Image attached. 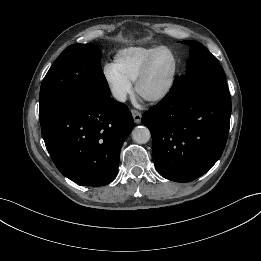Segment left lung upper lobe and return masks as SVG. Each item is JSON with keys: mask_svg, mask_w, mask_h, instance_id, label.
I'll return each instance as SVG.
<instances>
[{"mask_svg": "<svg viewBox=\"0 0 261 261\" xmlns=\"http://www.w3.org/2000/svg\"><path fill=\"white\" fill-rule=\"evenodd\" d=\"M181 43L190 46V56L187 61V72L174 81L170 91L172 95L183 100L202 85L226 81L223 68L205 46L192 40Z\"/></svg>", "mask_w": 261, "mask_h": 261, "instance_id": "left-lung-upper-lobe-1", "label": "left lung upper lobe"}]
</instances>
